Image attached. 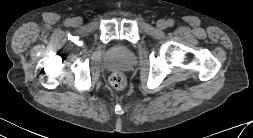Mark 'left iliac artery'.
Here are the masks:
<instances>
[{
	"instance_id": "left-iliac-artery-1",
	"label": "left iliac artery",
	"mask_w": 253,
	"mask_h": 138,
	"mask_svg": "<svg viewBox=\"0 0 253 138\" xmlns=\"http://www.w3.org/2000/svg\"><path fill=\"white\" fill-rule=\"evenodd\" d=\"M167 25H168L169 27H172V26L174 25V21H173L172 19H169V20L167 21Z\"/></svg>"
}]
</instances>
